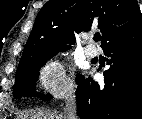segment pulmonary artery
<instances>
[{"label":"pulmonary artery","instance_id":"obj_1","mask_svg":"<svg viewBox=\"0 0 142 119\" xmlns=\"http://www.w3.org/2000/svg\"><path fill=\"white\" fill-rule=\"evenodd\" d=\"M84 53L88 58H94L98 55V50L93 45H87L84 47Z\"/></svg>","mask_w":142,"mask_h":119}]
</instances>
